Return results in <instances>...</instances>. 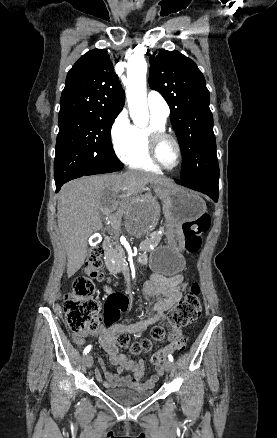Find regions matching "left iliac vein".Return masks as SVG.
Returning <instances> with one entry per match:
<instances>
[{"instance_id": "1", "label": "left iliac vein", "mask_w": 277, "mask_h": 438, "mask_svg": "<svg viewBox=\"0 0 277 438\" xmlns=\"http://www.w3.org/2000/svg\"><path fill=\"white\" fill-rule=\"evenodd\" d=\"M164 368L167 373L171 372L173 369V364L171 363V361H166L164 364Z\"/></svg>"}]
</instances>
